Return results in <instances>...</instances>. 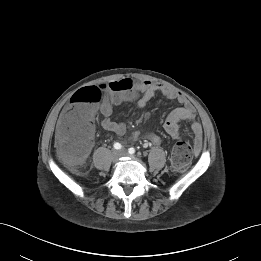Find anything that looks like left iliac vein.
<instances>
[{
	"label": "left iliac vein",
	"instance_id": "4c4485c4",
	"mask_svg": "<svg viewBox=\"0 0 261 261\" xmlns=\"http://www.w3.org/2000/svg\"><path fill=\"white\" fill-rule=\"evenodd\" d=\"M120 155H121V156H126V155H128V153H127V151L122 150V151H120Z\"/></svg>",
	"mask_w": 261,
	"mask_h": 261
}]
</instances>
